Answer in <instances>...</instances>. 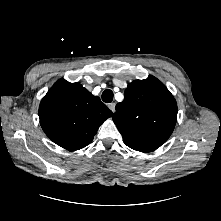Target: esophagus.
Instances as JSON below:
<instances>
[{"label":"esophagus","instance_id":"1","mask_svg":"<svg viewBox=\"0 0 221 221\" xmlns=\"http://www.w3.org/2000/svg\"><path fill=\"white\" fill-rule=\"evenodd\" d=\"M109 109L114 112L115 111V103H109L108 104Z\"/></svg>","mask_w":221,"mask_h":221}]
</instances>
